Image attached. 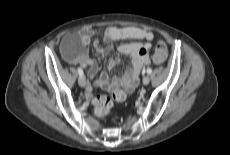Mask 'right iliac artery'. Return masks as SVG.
<instances>
[{
	"mask_svg": "<svg viewBox=\"0 0 230 155\" xmlns=\"http://www.w3.org/2000/svg\"><path fill=\"white\" fill-rule=\"evenodd\" d=\"M78 74H79V76H83L84 75L83 70L80 67H78Z\"/></svg>",
	"mask_w": 230,
	"mask_h": 155,
	"instance_id": "1",
	"label": "right iliac artery"
}]
</instances>
